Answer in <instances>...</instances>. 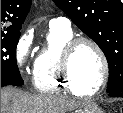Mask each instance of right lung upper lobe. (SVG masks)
Here are the masks:
<instances>
[{"label": "right lung upper lobe", "instance_id": "obj_1", "mask_svg": "<svg viewBox=\"0 0 123 113\" xmlns=\"http://www.w3.org/2000/svg\"><path fill=\"white\" fill-rule=\"evenodd\" d=\"M31 0H1V36L20 34Z\"/></svg>", "mask_w": 123, "mask_h": 113}]
</instances>
